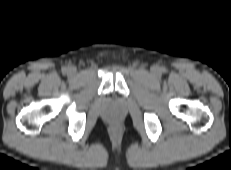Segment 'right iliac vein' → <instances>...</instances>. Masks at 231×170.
<instances>
[{"mask_svg": "<svg viewBox=\"0 0 231 170\" xmlns=\"http://www.w3.org/2000/svg\"><path fill=\"white\" fill-rule=\"evenodd\" d=\"M67 72L69 75H75L76 72H77V69L75 66H69L68 69H67Z\"/></svg>", "mask_w": 231, "mask_h": 170, "instance_id": "obj_1", "label": "right iliac vein"}]
</instances>
